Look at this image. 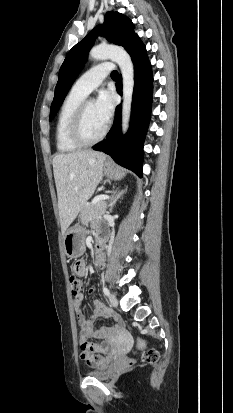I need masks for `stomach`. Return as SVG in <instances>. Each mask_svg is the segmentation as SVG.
<instances>
[{
	"label": "stomach",
	"mask_w": 233,
	"mask_h": 413,
	"mask_svg": "<svg viewBox=\"0 0 233 413\" xmlns=\"http://www.w3.org/2000/svg\"><path fill=\"white\" fill-rule=\"evenodd\" d=\"M103 171L109 179H121L125 175L123 170L117 169L110 162L104 164ZM84 237L85 231L81 226H72L66 231L63 237V243L65 253L68 257L77 258L84 253Z\"/></svg>",
	"instance_id": "1"
}]
</instances>
